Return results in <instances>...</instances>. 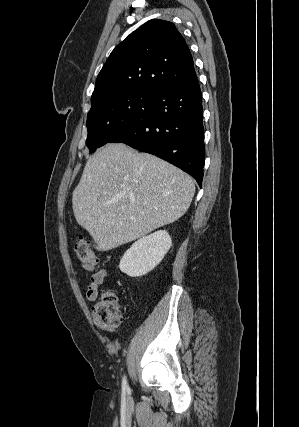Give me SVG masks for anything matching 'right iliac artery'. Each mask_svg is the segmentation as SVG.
<instances>
[{
    "label": "right iliac artery",
    "mask_w": 299,
    "mask_h": 427,
    "mask_svg": "<svg viewBox=\"0 0 299 427\" xmlns=\"http://www.w3.org/2000/svg\"><path fill=\"white\" fill-rule=\"evenodd\" d=\"M122 389L123 391L128 389V384H127V380H126V376H124L123 381H122Z\"/></svg>",
    "instance_id": "right-iliac-artery-1"
}]
</instances>
